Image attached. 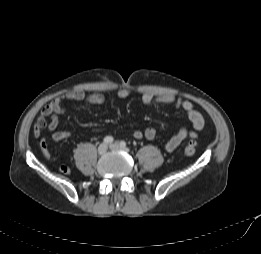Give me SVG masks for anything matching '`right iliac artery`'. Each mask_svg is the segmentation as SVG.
Here are the masks:
<instances>
[{"instance_id":"1","label":"right iliac artery","mask_w":261,"mask_h":254,"mask_svg":"<svg viewBox=\"0 0 261 254\" xmlns=\"http://www.w3.org/2000/svg\"><path fill=\"white\" fill-rule=\"evenodd\" d=\"M113 140H114V139H113L112 136H107V137L104 138L103 142H104L105 144H110V143L113 142Z\"/></svg>"}]
</instances>
